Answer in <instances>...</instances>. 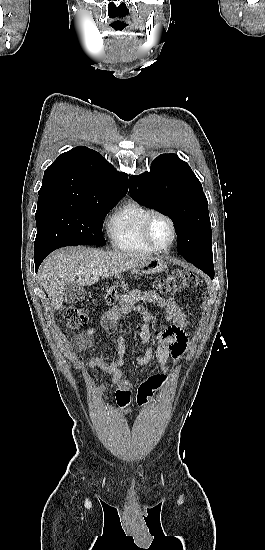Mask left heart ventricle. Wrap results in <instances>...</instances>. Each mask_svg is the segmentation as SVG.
Returning a JSON list of instances; mask_svg holds the SVG:
<instances>
[{
    "label": "left heart ventricle",
    "instance_id": "obj_1",
    "mask_svg": "<svg viewBox=\"0 0 265 550\" xmlns=\"http://www.w3.org/2000/svg\"><path fill=\"white\" fill-rule=\"evenodd\" d=\"M150 233L154 242L160 246L165 247L170 244L172 239L171 228L166 220L160 217H156L150 228Z\"/></svg>",
    "mask_w": 265,
    "mask_h": 550
}]
</instances>
